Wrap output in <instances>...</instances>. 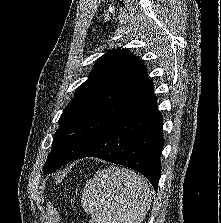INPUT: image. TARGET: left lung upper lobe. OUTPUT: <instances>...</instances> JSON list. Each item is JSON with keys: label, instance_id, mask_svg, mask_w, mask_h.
Listing matches in <instances>:
<instances>
[{"label": "left lung upper lobe", "instance_id": "left-lung-upper-lobe-1", "mask_svg": "<svg viewBox=\"0 0 221 223\" xmlns=\"http://www.w3.org/2000/svg\"><path fill=\"white\" fill-rule=\"evenodd\" d=\"M152 86L145 66L128 50H111L98 58L59 119L43 172L51 173L77 157Z\"/></svg>", "mask_w": 221, "mask_h": 223}]
</instances>
